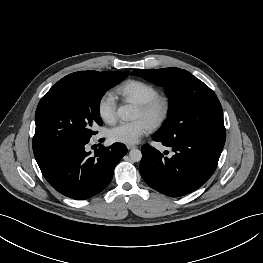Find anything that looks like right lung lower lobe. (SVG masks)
I'll return each instance as SVG.
<instances>
[{
	"instance_id": "98d812e1",
	"label": "right lung lower lobe",
	"mask_w": 263,
	"mask_h": 263,
	"mask_svg": "<svg viewBox=\"0 0 263 263\" xmlns=\"http://www.w3.org/2000/svg\"><path fill=\"white\" fill-rule=\"evenodd\" d=\"M89 141L54 147L36 157L38 166L61 194L84 200L101 192L111 181L117 163L126 154L124 144L100 147L95 155L85 151Z\"/></svg>"
}]
</instances>
